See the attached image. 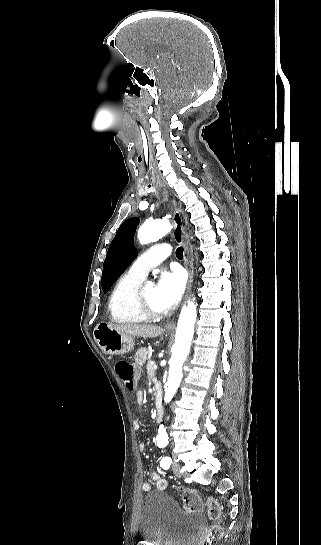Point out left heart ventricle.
<instances>
[{
	"mask_svg": "<svg viewBox=\"0 0 321 545\" xmlns=\"http://www.w3.org/2000/svg\"><path fill=\"white\" fill-rule=\"evenodd\" d=\"M145 305L157 312H161L156 303V288L154 286H145L141 293Z\"/></svg>",
	"mask_w": 321,
	"mask_h": 545,
	"instance_id": "obj_1",
	"label": "left heart ventricle"
}]
</instances>
